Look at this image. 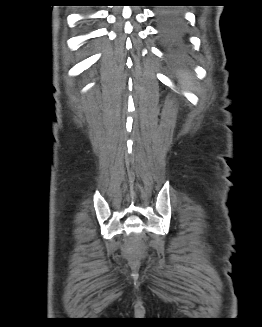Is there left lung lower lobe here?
<instances>
[{"label":"left lung lower lobe","instance_id":"left-lung-lower-lobe-1","mask_svg":"<svg viewBox=\"0 0 262 327\" xmlns=\"http://www.w3.org/2000/svg\"><path fill=\"white\" fill-rule=\"evenodd\" d=\"M161 33L171 48L184 50V20L180 13L174 10H160L157 12Z\"/></svg>","mask_w":262,"mask_h":327}]
</instances>
